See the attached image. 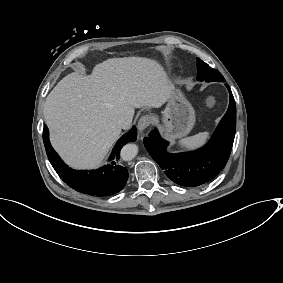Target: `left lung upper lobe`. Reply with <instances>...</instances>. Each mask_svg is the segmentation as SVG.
I'll use <instances>...</instances> for the list:
<instances>
[{
    "mask_svg": "<svg viewBox=\"0 0 283 283\" xmlns=\"http://www.w3.org/2000/svg\"><path fill=\"white\" fill-rule=\"evenodd\" d=\"M197 68H198V73H197V79L199 81H221L224 82L225 79L221 75L219 71L216 69H212L209 67L208 64L197 58Z\"/></svg>",
    "mask_w": 283,
    "mask_h": 283,
    "instance_id": "5c2ea615",
    "label": "left lung upper lobe"
}]
</instances>
